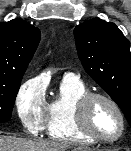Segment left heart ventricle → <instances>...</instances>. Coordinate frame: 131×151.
Masks as SVG:
<instances>
[{
  "label": "left heart ventricle",
  "mask_w": 131,
  "mask_h": 151,
  "mask_svg": "<svg viewBox=\"0 0 131 151\" xmlns=\"http://www.w3.org/2000/svg\"><path fill=\"white\" fill-rule=\"evenodd\" d=\"M92 129L100 136L115 137L120 131V120L115 110L106 102H96L91 110Z\"/></svg>",
  "instance_id": "obj_1"
}]
</instances>
